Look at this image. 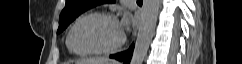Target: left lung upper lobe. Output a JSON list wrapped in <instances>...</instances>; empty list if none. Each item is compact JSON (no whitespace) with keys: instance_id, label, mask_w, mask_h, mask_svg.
<instances>
[{"instance_id":"obj_1","label":"left lung upper lobe","mask_w":242,"mask_h":64,"mask_svg":"<svg viewBox=\"0 0 242 64\" xmlns=\"http://www.w3.org/2000/svg\"><path fill=\"white\" fill-rule=\"evenodd\" d=\"M115 0H66L59 17L57 33L62 32L76 17L86 10L104 3H114Z\"/></svg>"}]
</instances>
